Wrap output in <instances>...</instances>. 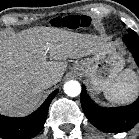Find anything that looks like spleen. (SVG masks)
Returning <instances> with one entry per match:
<instances>
[{"mask_svg": "<svg viewBox=\"0 0 139 139\" xmlns=\"http://www.w3.org/2000/svg\"><path fill=\"white\" fill-rule=\"evenodd\" d=\"M136 93L134 75L128 70L120 72L111 86L104 91L105 97L115 103L129 102Z\"/></svg>", "mask_w": 139, "mask_h": 139, "instance_id": "3e777b00", "label": "spleen"}]
</instances>
